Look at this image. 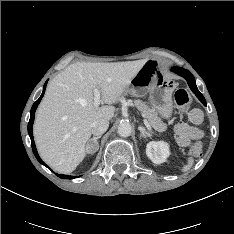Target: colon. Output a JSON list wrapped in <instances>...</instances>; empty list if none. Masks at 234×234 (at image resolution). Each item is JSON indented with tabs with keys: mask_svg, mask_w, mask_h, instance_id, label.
Masks as SVG:
<instances>
[{
	"mask_svg": "<svg viewBox=\"0 0 234 234\" xmlns=\"http://www.w3.org/2000/svg\"><path fill=\"white\" fill-rule=\"evenodd\" d=\"M175 103L179 110L183 113L189 110L191 104V96L185 89H178L174 95ZM203 144L201 141H197L190 147L189 153L192 156H199L202 153Z\"/></svg>",
	"mask_w": 234,
	"mask_h": 234,
	"instance_id": "colon-1",
	"label": "colon"
}]
</instances>
